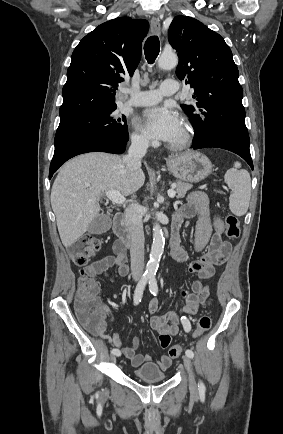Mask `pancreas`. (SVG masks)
<instances>
[{
	"label": "pancreas",
	"mask_w": 283,
	"mask_h": 434,
	"mask_svg": "<svg viewBox=\"0 0 283 434\" xmlns=\"http://www.w3.org/2000/svg\"><path fill=\"white\" fill-rule=\"evenodd\" d=\"M192 188V184L176 181L175 190L178 198H183L186 193Z\"/></svg>",
	"instance_id": "1"
}]
</instances>
